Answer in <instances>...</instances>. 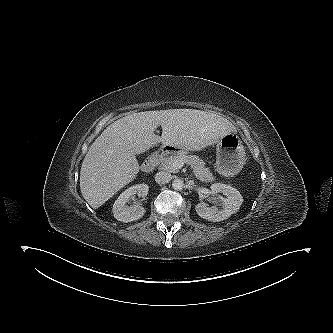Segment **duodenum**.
Here are the masks:
<instances>
[{
	"label": "duodenum",
	"instance_id": "1",
	"mask_svg": "<svg viewBox=\"0 0 333 333\" xmlns=\"http://www.w3.org/2000/svg\"><path fill=\"white\" fill-rule=\"evenodd\" d=\"M169 147L161 149L148 157L143 163L142 167L144 171H152L163 159L164 154L169 150Z\"/></svg>",
	"mask_w": 333,
	"mask_h": 333
}]
</instances>
